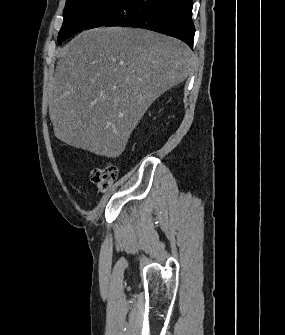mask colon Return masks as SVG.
Here are the masks:
<instances>
[{
	"instance_id": "5ec220e1",
	"label": "colon",
	"mask_w": 285,
	"mask_h": 335,
	"mask_svg": "<svg viewBox=\"0 0 285 335\" xmlns=\"http://www.w3.org/2000/svg\"><path fill=\"white\" fill-rule=\"evenodd\" d=\"M118 176L117 167L112 164H106L103 167L92 171V180L100 191H106L116 181Z\"/></svg>"
}]
</instances>
